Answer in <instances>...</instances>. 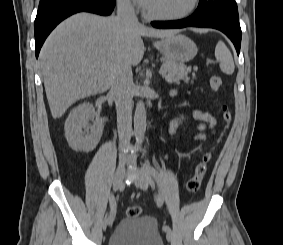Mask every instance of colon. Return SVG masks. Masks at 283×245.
Here are the masks:
<instances>
[{
	"label": "colon",
	"mask_w": 283,
	"mask_h": 245,
	"mask_svg": "<svg viewBox=\"0 0 283 245\" xmlns=\"http://www.w3.org/2000/svg\"><path fill=\"white\" fill-rule=\"evenodd\" d=\"M210 86L214 91H218L222 86V78L219 75H212L210 77ZM222 114L225 123L228 125L231 122L232 117L228 107L225 105L222 106ZM211 157L212 149L204 152L195 165L193 175L187 182V189L191 193H196L200 190ZM140 213L141 209L138 206H131L127 209L128 217H138Z\"/></svg>",
	"instance_id": "obj_1"
}]
</instances>
